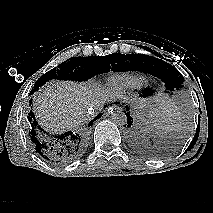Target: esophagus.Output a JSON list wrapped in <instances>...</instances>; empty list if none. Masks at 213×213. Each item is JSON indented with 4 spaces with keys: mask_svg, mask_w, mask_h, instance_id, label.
<instances>
[{
    "mask_svg": "<svg viewBox=\"0 0 213 213\" xmlns=\"http://www.w3.org/2000/svg\"><path fill=\"white\" fill-rule=\"evenodd\" d=\"M119 109H120L119 106L113 105L112 107H109L108 113H109V114H113L114 112L118 111Z\"/></svg>",
    "mask_w": 213,
    "mask_h": 213,
    "instance_id": "obj_1",
    "label": "esophagus"
}]
</instances>
